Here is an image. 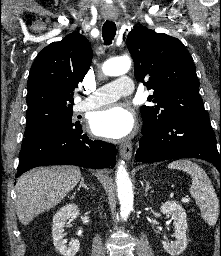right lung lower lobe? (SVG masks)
Returning a JSON list of instances; mask_svg holds the SVG:
<instances>
[{
  "label": "right lung lower lobe",
  "instance_id": "98d812e1",
  "mask_svg": "<svg viewBox=\"0 0 221 256\" xmlns=\"http://www.w3.org/2000/svg\"><path fill=\"white\" fill-rule=\"evenodd\" d=\"M115 156L113 144L89 139L79 122L52 125L24 137L16 177L47 165L113 168Z\"/></svg>",
  "mask_w": 221,
  "mask_h": 256
}]
</instances>
